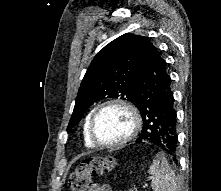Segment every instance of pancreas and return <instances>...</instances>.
I'll return each mask as SVG.
<instances>
[{
	"instance_id": "cf45deb5",
	"label": "pancreas",
	"mask_w": 221,
	"mask_h": 191,
	"mask_svg": "<svg viewBox=\"0 0 221 191\" xmlns=\"http://www.w3.org/2000/svg\"><path fill=\"white\" fill-rule=\"evenodd\" d=\"M129 191H134L133 189H130Z\"/></svg>"
}]
</instances>
